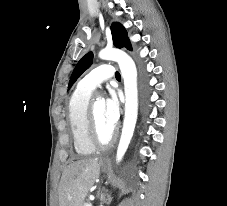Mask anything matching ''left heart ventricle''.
Instances as JSON below:
<instances>
[{
    "instance_id": "obj_1",
    "label": "left heart ventricle",
    "mask_w": 227,
    "mask_h": 206,
    "mask_svg": "<svg viewBox=\"0 0 227 206\" xmlns=\"http://www.w3.org/2000/svg\"><path fill=\"white\" fill-rule=\"evenodd\" d=\"M94 112L99 136L102 140L106 141L109 139L114 129L108 125L105 119L104 101L97 100L94 102Z\"/></svg>"
}]
</instances>
